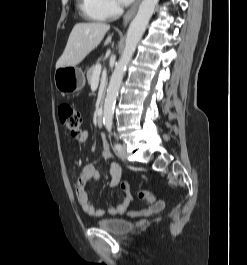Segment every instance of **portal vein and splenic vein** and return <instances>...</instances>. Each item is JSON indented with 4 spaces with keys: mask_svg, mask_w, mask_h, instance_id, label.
Listing matches in <instances>:
<instances>
[{
    "mask_svg": "<svg viewBox=\"0 0 247 265\" xmlns=\"http://www.w3.org/2000/svg\"><path fill=\"white\" fill-rule=\"evenodd\" d=\"M101 74V66H97L92 76V80H98Z\"/></svg>",
    "mask_w": 247,
    "mask_h": 265,
    "instance_id": "18ae733b",
    "label": "portal vein and splenic vein"
}]
</instances>
